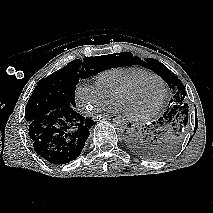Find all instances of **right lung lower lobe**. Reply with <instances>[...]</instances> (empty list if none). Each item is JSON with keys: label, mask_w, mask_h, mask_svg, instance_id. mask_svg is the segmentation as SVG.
I'll return each mask as SVG.
<instances>
[{"label": "right lung lower lobe", "mask_w": 213, "mask_h": 213, "mask_svg": "<svg viewBox=\"0 0 213 213\" xmlns=\"http://www.w3.org/2000/svg\"><path fill=\"white\" fill-rule=\"evenodd\" d=\"M95 122L84 118L74 107L64 106L27 124L29 136L38 155L60 165L76 159Z\"/></svg>", "instance_id": "right-lung-lower-lobe-1"}]
</instances>
